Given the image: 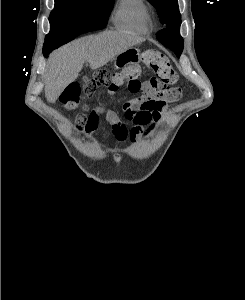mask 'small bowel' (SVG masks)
Segmentation results:
<instances>
[{"mask_svg":"<svg viewBox=\"0 0 245 300\" xmlns=\"http://www.w3.org/2000/svg\"><path fill=\"white\" fill-rule=\"evenodd\" d=\"M131 93L137 96L124 104L125 118L130 122V127L119 118L116 112L100 109L79 115L76 120L77 130L83 131L93 140L92 134L98 128L99 117L104 114L118 142L137 143L147 137L165 115L167 102L157 98L147 82L140 81L138 91Z\"/></svg>","mask_w":245,"mask_h":300,"instance_id":"obj_1","label":"small bowel"}]
</instances>
